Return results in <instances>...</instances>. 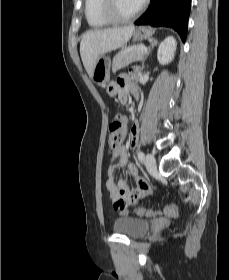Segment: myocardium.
I'll return each mask as SVG.
<instances>
[{
  "label": "myocardium",
  "mask_w": 229,
  "mask_h": 280,
  "mask_svg": "<svg viewBox=\"0 0 229 280\" xmlns=\"http://www.w3.org/2000/svg\"><path fill=\"white\" fill-rule=\"evenodd\" d=\"M147 1L148 0H146V2ZM115 2H116L115 0H102L101 9H100L101 15L103 16V18L106 19L107 21H109L110 23H114V24L127 23V22L134 20L135 18H137L139 16V14L141 13V11L145 5L144 4V5L140 6L131 15L123 16L117 12Z\"/></svg>",
  "instance_id": "myocardium-1"
}]
</instances>
